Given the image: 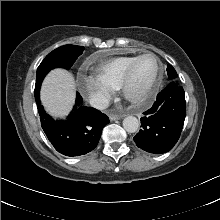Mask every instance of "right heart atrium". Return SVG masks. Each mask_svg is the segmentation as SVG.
<instances>
[{
  "instance_id": "obj_1",
  "label": "right heart atrium",
  "mask_w": 220,
  "mask_h": 220,
  "mask_svg": "<svg viewBox=\"0 0 220 220\" xmlns=\"http://www.w3.org/2000/svg\"><path fill=\"white\" fill-rule=\"evenodd\" d=\"M81 89L88 101L98 109L106 107L115 93V88L97 75L82 77Z\"/></svg>"
}]
</instances>
